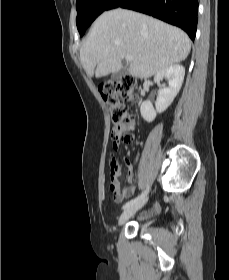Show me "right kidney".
I'll return each mask as SVG.
<instances>
[{
    "mask_svg": "<svg viewBox=\"0 0 229 280\" xmlns=\"http://www.w3.org/2000/svg\"><path fill=\"white\" fill-rule=\"evenodd\" d=\"M184 75L185 69L179 64L171 65L155 75V83L159 84L160 81L165 78L168 80V87L164 86L159 89L155 103L156 109L153 108L150 101H144L141 104L140 112L145 121L152 122L157 113L164 112L171 105L182 86Z\"/></svg>",
    "mask_w": 229,
    "mask_h": 280,
    "instance_id": "ca27d5eb",
    "label": "right kidney"
}]
</instances>
